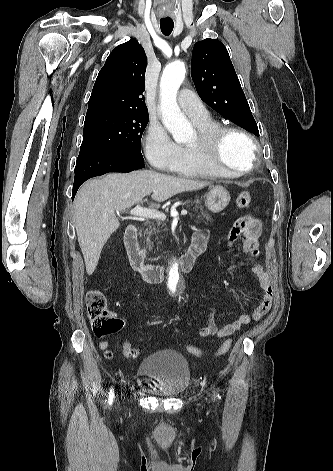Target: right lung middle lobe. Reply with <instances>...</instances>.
<instances>
[{
  "label": "right lung middle lobe",
  "mask_w": 333,
  "mask_h": 471,
  "mask_svg": "<svg viewBox=\"0 0 333 471\" xmlns=\"http://www.w3.org/2000/svg\"><path fill=\"white\" fill-rule=\"evenodd\" d=\"M148 113L107 112L85 118L80 152L113 151L143 160L140 150Z\"/></svg>",
  "instance_id": "right-lung-middle-lobe-1"
}]
</instances>
